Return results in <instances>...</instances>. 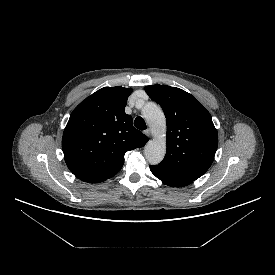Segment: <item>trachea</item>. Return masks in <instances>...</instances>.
<instances>
[{"instance_id":"trachea-1","label":"trachea","mask_w":275,"mask_h":275,"mask_svg":"<svg viewBox=\"0 0 275 275\" xmlns=\"http://www.w3.org/2000/svg\"><path fill=\"white\" fill-rule=\"evenodd\" d=\"M134 126L140 130H145L147 128L146 123L144 121V119L140 116H138L135 120H134Z\"/></svg>"}]
</instances>
